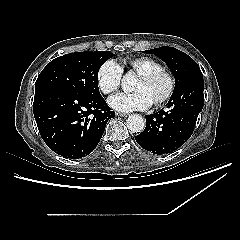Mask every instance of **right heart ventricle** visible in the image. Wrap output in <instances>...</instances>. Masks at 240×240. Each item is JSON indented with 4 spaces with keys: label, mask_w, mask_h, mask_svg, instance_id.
I'll return each instance as SVG.
<instances>
[{
    "label": "right heart ventricle",
    "mask_w": 240,
    "mask_h": 240,
    "mask_svg": "<svg viewBox=\"0 0 240 240\" xmlns=\"http://www.w3.org/2000/svg\"><path fill=\"white\" fill-rule=\"evenodd\" d=\"M122 68H127L136 74L158 68V65L150 58L138 57V58H126L120 61Z\"/></svg>",
    "instance_id": "right-heart-ventricle-1"
}]
</instances>
